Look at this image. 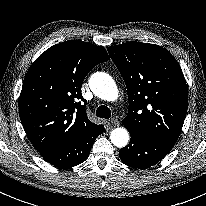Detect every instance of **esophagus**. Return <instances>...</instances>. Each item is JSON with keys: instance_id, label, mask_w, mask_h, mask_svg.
I'll return each mask as SVG.
<instances>
[{"instance_id": "obj_1", "label": "esophagus", "mask_w": 206, "mask_h": 206, "mask_svg": "<svg viewBox=\"0 0 206 206\" xmlns=\"http://www.w3.org/2000/svg\"><path fill=\"white\" fill-rule=\"evenodd\" d=\"M109 122L114 126H119V121L116 118H112Z\"/></svg>"}]
</instances>
